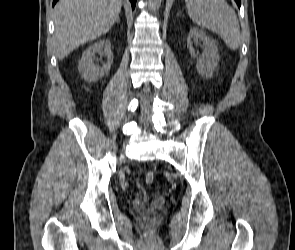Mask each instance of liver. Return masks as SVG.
I'll use <instances>...</instances> for the list:
<instances>
[{"label": "liver", "mask_w": 295, "mask_h": 250, "mask_svg": "<svg viewBox=\"0 0 295 250\" xmlns=\"http://www.w3.org/2000/svg\"><path fill=\"white\" fill-rule=\"evenodd\" d=\"M122 0H60L55 6L57 57L107 33L119 17Z\"/></svg>", "instance_id": "1"}]
</instances>
